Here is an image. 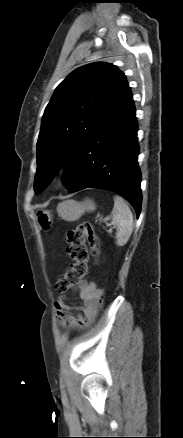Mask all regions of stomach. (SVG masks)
Segmentation results:
<instances>
[{"label": "stomach", "instance_id": "0dacf381", "mask_svg": "<svg viewBox=\"0 0 183 438\" xmlns=\"http://www.w3.org/2000/svg\"><path fill=\"white\" fill-rule=\"evenodd\" d=\"M95 210V204L91 200L77 202L75 200H66L57 206L58 215L65 221L73 222L79 219L85 212ZM36 221L43 231H49L52 228V216L47 210H40L36 213Z\"/></svg>", "mask_w": 183, "mask_h": 438}]
</instances>
